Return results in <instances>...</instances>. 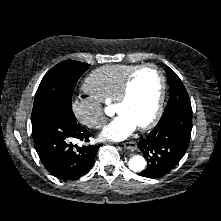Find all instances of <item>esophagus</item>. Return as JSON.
Here are the masks:
<instances>
[{"mask_svg":"<svg viewBox=\"0 0 221 221\" xmlns=\"http://www.w3.org/2000/svg\"><path fill=\"white\" fill-rule=\"evenodd\" d=\"M123 146L126 149L135 150L137 148V143L135 141L125 142Z\"/></svg>","mask_w":221,"mask_h":221,"instance_id":"esophagus-1","label":"esophagus"}]
</instances>
